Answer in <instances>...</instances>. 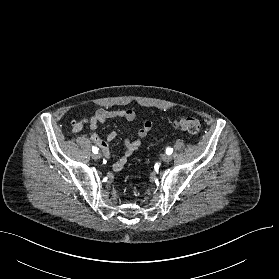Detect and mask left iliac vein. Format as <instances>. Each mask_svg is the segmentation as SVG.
I'll return each mask as SVG.
<instances>
[{"label": "left iliac vein", "mask_w": 279, "mask_h": 279, "mask_svg": "<svg viewBox=\"0 0 279 279\" xmlns=\"http://www.w3.org/2000/svg\"><path fill=\"white\" fill-rule=\"evenodd\" d=\"M162 160L164 161V162H170L171 160H172V156L171 155H168V154H164V155H162Z\"/></svg>", "instance_id": "4c4485c4"}]
</instances>
